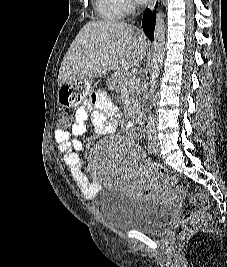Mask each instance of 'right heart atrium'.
Here are the masks:
<instances>
[{
  "label": "right heart atrium",
  "instance_id": "d8ad5b80",
  "mask_svg": "<svg viewBox=\"0 0 227 267\" xmlns=\"http://www.w3.org/2000/svg\"><path fill=\"white\" fill-rule=\"evenodd\" d=\"M138 0H119L125 13H131L136 9Z\"/></svg>",
  "mask_w": 227,
  "mask_h": 267
}]
</instances>
